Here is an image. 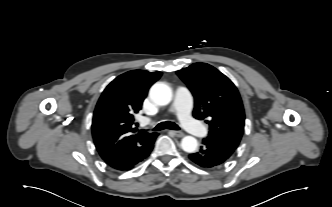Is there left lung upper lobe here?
I'll use <instances>...</instances> for the list:
<instances>
[{
  "label": "left lung upper lobe",
  "mask_w": 332,
  "mask_h": 207,
  "mask_svg": "<svg viewBox=\"0 0 332 207\" xmlns=\"http://www.w3.org/2000/svg\"><path fill=\"white\" fill-rule=\"evenodd\" d=\"M195 100L193 116L209 124L208 139L236 149L244 131L245 114L239 92L231 80L206 63L177 71Z\"/></svg>",
  "instance_id": "1"
}]
</instances>
